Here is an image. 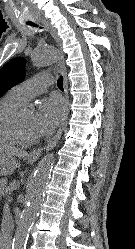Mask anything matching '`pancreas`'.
Returning a JSON list of instances; mask_svg holds the SVG:
<instances>
[{"instance_id":"cf45deb5","label":"pancreas","mask_w":135,"mask_h":249,"mask_svg":"<svg viewBox=\"0 0 135 249\" xmlns=\"http://www.w3.org/2000/svg\"><path fill=\"white\" fill-rule=\"evenodd\" d=\"M16 186V183H12L9 187H1L0 188V193L1 194H8L14 187Z\"/></svg>"}]
</instances>
